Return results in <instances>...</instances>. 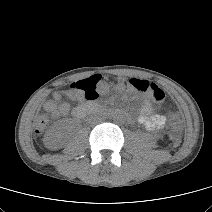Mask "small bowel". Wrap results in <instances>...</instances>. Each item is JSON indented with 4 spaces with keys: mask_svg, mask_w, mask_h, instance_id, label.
Wrapping results in <instances>:
<instances>
[{
    "mask_svg": "<svg viewBox=\"0 0 212 212\" xmlns=\"http://www.w3.org/2000/svg\"><path fill=\"white\" fill-rule=\"evenodd\" d=\"M71 98L75 101H81L82 96L77 93H71ZM62 93L56 92L44 103V109L51 114L53 118H59L66 115L70 110V105L60 101ZM139 122L148 130H160L166 123V116L156 113L153 105L149 101L143 103Z\"/></svg>",
    "mask_w": 212,
    "mask_h": 212,
    "instance_id": "obj_1",
    "label": "small bowel"
}]
</instances>
